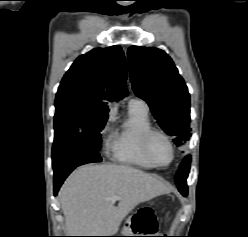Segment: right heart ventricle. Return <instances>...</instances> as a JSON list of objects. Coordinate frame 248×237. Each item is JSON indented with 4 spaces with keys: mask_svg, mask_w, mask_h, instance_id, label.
I'll return each mask as SVG.
<instances>
[{
    "mask_svg": "<svg viewBox=\"0 0 248 237\" xmlns=\"http://www.w3.org/2000/svg\"><path fill=\"white\" fill-rule=\"evenodd\" d=\"M152 129L148 109L129 106L127 118L113 134L112 159L118 163L143 169L155 168L142 151V137Z\"/></svg>",
    "mask_w": 248,
    "mask_h": 237,
    "instance_id": "right-heart-ventricle-1",
    "label": "right heart ventricle"
}]
</instances>
